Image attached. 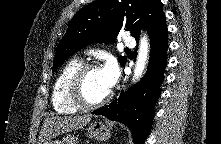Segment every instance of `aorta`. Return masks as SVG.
Listing matches in <instances>:
<instances>
[{"instance_id": "762f6f07", "label": "aorta", "mask_w": 221, "mask_h": 144, "mask_svg": "<svg viewBox=\"0 0 221 144\" xmlns=\"http://www.w3.org/2000/svg\"><path fill=\"white\" fill-rule=\"evenodd\" d=\"M148 54H149L148 38L146 35H143L140 39V45L134 69L133 81H137L141 78L148 61Z\"/></svg>"}]
</instances>
